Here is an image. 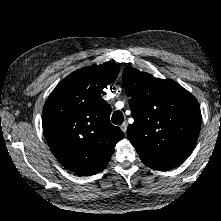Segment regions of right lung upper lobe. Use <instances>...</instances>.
<instances>
[{
    "label": "right lung upper lobe",
    "mask_w": 221,
    "mask_h": 221,
    "mask_svg": "<svg viewBox=\"0 0 221 221\" xmlns=\"http://www.w3.org/2000/svg\"><path fill=\"white\" fill-rule=\"evenodd\" d=\"M118 72L113 63L79 69L48 97L42 114L45 138L67 170L80 175L102 171L123 139L121 129L110 122L111 106L101 96Z\"/></svg>",
    "instance_id": "1"
}]
</instances>
